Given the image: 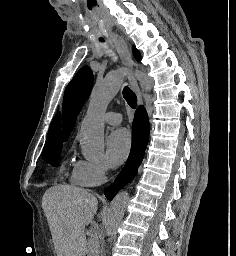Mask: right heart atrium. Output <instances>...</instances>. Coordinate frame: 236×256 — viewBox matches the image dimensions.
I'll return each instance as SVG.
<instances>
[{
    "mask_svg": "<svg viewBox=\"0 0 236 256\" xmlns=\"http://www.w3.org/2000/svg\"><path fill=\"white\" fill-rule=\"evenodd\" d=\"M109 166L105 159L77 158L70 172V181L77 186L92 188L106 182Z\"/></svg>",
    "mask_w": 236,
    "mask_h": 256,
    "instance_id": "d8ad5b80",
    "label": "right heart atrium"
}]
</instances>
